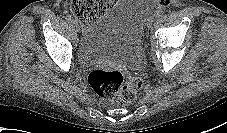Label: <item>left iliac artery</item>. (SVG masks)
<instances>
[{
	"instance_id": "1",
	"label": "left iliac artery",
	"mask_w": 227,
	"mask_h": 133,
	"mask_svg": "<svg viewBox=\"0 0 227 133\" xmlns=\"http://www.w3.org/2000/svg\"><path fill=\"white\" fill-rule=\"evenodd\" d=\"M163 15V11L162 10H157L155 13H154V16L157 18V17H161Z\"/></svg>"
}]
</instances>
